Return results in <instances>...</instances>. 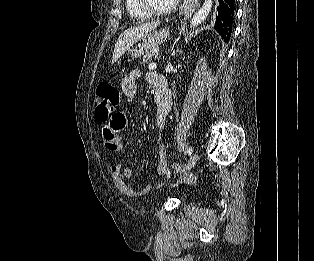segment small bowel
Segmentation results:
<instances>
[{
    "label": "small bowel",
    "mask_w": 314,
    "mask_h": 261,
    "mask_svg": "<svg viewBox=\"0 0 314 261\" xmlns=\"http://www.w3.org/2000/svg\"><path fill=\"white\" fill-rule=\"evenodd\" d=\"M140 74L138 70H132L121 81V89L123 94L132 98L136 94V81ZM157 74H149L148 81L155 87V79ZM169 112V111H168ZM168 112H157L155 115V126L160 133L166 124V118ZM129 122V117L126 113H122L118 110L117 113H111L108 120L104 121V129L101 130L102 140H105V151H121L124 147L122 142L124 136L125 123ZM158 154V167L157 177L162 180L157 181L156 185L160 186L169 175V168L167 163V151L164 145H159L157 149ZM109 172L115 183L117 189L126 196H140L146 193L151 185L144 187L143 189L136 190L128 184V180L132 178L133 171L131 168H123L120 163L112 164L109 166Z\"/></svg>",
    "instance_id": "c3829d8e"
}]
</instances>
